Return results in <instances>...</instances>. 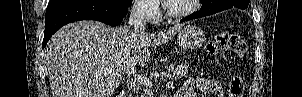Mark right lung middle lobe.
Here are the masks:
<instances>
[{
  "instance_id": "1",
  "label": "right lung middle lobe",
  "mask_w": 302,
  "mask_h": 97,
  "mask_svg": "<svg viewBox=\"0 0 302 97\" xmlns=\"http://www.w3.org/2000/svg\"><path fill=\"white\" fill-rule=\"evenodd\" d=\"M51 1H55V0H51ZM114 1L126 6H130L132 3V0H114Z\"/></svg>"
}]
</instances>
